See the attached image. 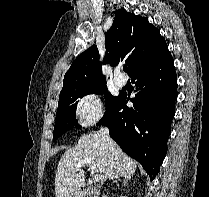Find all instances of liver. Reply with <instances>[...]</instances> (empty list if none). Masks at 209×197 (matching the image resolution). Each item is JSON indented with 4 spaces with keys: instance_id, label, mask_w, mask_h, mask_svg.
<instances>
[{
    "instance_id": "6515ba94",
    "label": "liver",
    "mask_w": 209,
    "mask_h": 197,
    "mask_svg": "<svg viewBox=\"0 0 209 197\" xmlns=\"http://www.w3.org/2000/svg\"><path fill=\"white\" fill-rule=\"evenodd\" d=\"M87 158L95 162L102 184L107 178L118 179L124 176L129 179L137 168V163L113 140L108 144L98 133L83 135L74 148L65 151L58 163L55 175L56 197H71L85 184V171L75 167Z\"/></svg>"
}]
</instances>
